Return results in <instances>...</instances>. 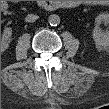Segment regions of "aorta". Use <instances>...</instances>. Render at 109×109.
Segmentation results:
<instances>
[{"instance_id":"1","label":"aorta","mask_w":109,"mask_h":109,"mask_svg":"<svg viewBox=\"0 0 109 109\" xmlns=\"http://www.w3.org/2000/svg\"><path fill=\"white\" fill-rule=\"evenodd\" d=\"M48 23L51 25V26H57L60 24V17L56 14H51L49 17H48Z\"/></svg>"}]
</instances>
